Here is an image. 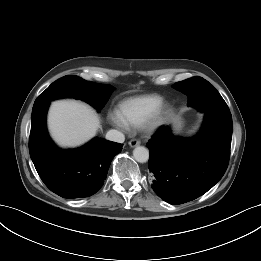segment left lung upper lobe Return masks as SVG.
I'll return each mask as SVG.
<instances>
[{
  "mask_svg": "<svg viewBox=\"0 0 261 261\" xmlns=\"http://www.w3.org/2000/svg\"><path fill=\"white\" fill-rule=\"evenodd\" d=\"M211 86V84L201 78V77H192L189 79H186L184 81L177 82L173 85V88L186 94L188 96V105L196 107L197 109L201 110V105L197 102V98H201L200 96V89L202 86ZM214 91L217 94V101L214 104L215 107L218 108H228L227 104L221 97V95L218 93V91L214 88Z\"/></svg>",
  "mask_w": 261,
  "mask_h": 261,
  "instance_id": "1",
  "label": "left lung upper lobe"
}]
</instances>
